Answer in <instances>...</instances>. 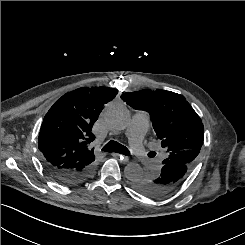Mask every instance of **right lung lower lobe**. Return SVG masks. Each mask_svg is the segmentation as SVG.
I'll use <instances>...</instances> for the list:
<instances>
[{
  "label": "right lung lower lobe",
  "mask_w": 245,
  "mask_h": 245,
  "mask_svg": "<svg viewBox=\"0 0 245 245\" xmlns=\"http://www.w3.org/2000/svg\"><path fill=\"white\" fill-rule=\"evenodd\" d=\"M45 169L57 181L65 185H75L88 179L94 171V163L81 170H62L43 162Z\"/></svg>",
  "instance_id": "1"
}]
</instances>
